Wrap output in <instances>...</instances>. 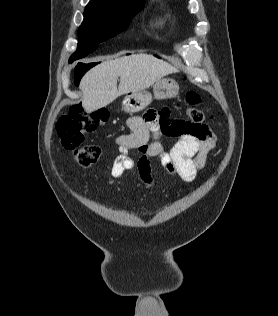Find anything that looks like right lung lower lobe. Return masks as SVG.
<instances>
[{
	"label": "right lung lower lobe",
	"instance_id": "obj_1",
	"mask_svg": "<svg viewBox=\"0 0 278 316\" xmlns=\"http://www.w3.org/2000/svg\"><path fill=\"white\" fill-rule=\"evenodd\" d=\"M82 76V75H81ZM81 76L79 74H76V79L77 81L81 78Z\"/></svg>",
	"mask_w": 278,
	"mask_h": 316
}]
</instances>
